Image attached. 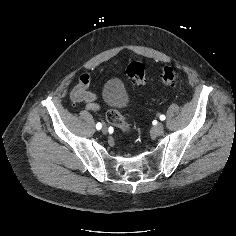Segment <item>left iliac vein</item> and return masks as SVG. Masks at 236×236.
Here are the masks:
<instances>
[{"label":"left iliac vein","mask_w":236,"mask_h":236,"mask_svg":"<svg viewBox=\"0 0 236 236\" xmlns=\"http://www.w3.org/2000/svg\"><path fill=\"white\" fill-rule=\"evenodd\" d=\"M152 132L155 135H161L164 132V125L162 123H158L156 126L153 127Z\"/></svg>","instance_id":"left-iliac-vein-1"}]
</instances>
